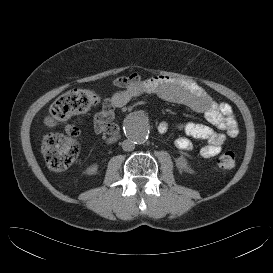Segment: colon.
Returning <instances> with one entry per match:
<instances>
[{
  "label": "colon",
  "instance_id": "1",
  "mask_svg": "<svg viewBox=\"0 0 273 273\" xmlns=\"http://www.w3.org/2000/svg\"><path fill=\"white\" fill-rule=\"evenodd\" d=\"M101 97L94 89H74L59 97L50 107L45 118L48 127H55L67 119L85 113L99 104ZM41 151L49 169L62 171L71 166L79 155V147L71 135H51L43 139ZM235 165V154L223 152L217 161L220 170Z\"/></svg>",
  "mask_w": 273,
  "mask_h": 273
}]
</instances>
